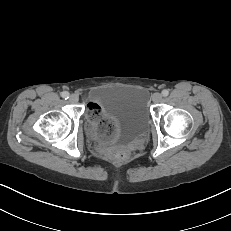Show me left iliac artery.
I'll use <instances>...</instances> for the list:
<instances>
[{"label": "left iliac artery", "mask_w": 231, "mask_h": 231, "mask_svg": "<svg viewBox=\"0 0 231 231\" xmlns=\"http://www.w3.org/2000/svg\"><path fill=\"white\" fill-rule=\"evenodd\" d=\"M162 95H163L164 97L168 96V95H169V91H168L167 89H164V90L162 91Z\"/></svg>", "instance_id": "44dca946"}]
</instances>
